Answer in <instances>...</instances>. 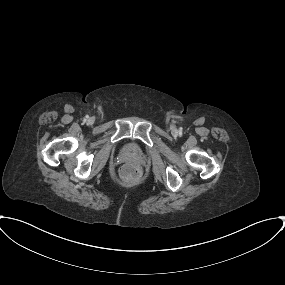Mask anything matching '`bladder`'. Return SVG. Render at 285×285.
Listing matches in <instances>:
<instances>
[{
	"label": "bladder",
	"instance_id": "1",
	"mask_svg": "<svg viewBox=\"0 0 285 285\" xmlns=\"http://www.w3.org/2000/svg\"><path fill=\"white\" fill-rule=\"evenodd\" d=\"M125 153L128 154V155H135L136 154V150L135 148L132 146V144H128L126 147H125Z\"/></svg>",
	"mask_w": 285,
	"mask_h": 285
}]
</instances>
